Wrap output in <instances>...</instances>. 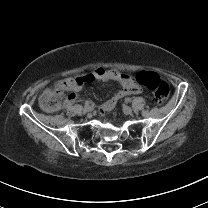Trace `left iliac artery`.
<instances>
[{
	"instance_id": "44dca946",
	"label": "left iliac artery",
	"mask_w": 208,
	"mask_h": 208,
	"mask_svg": "<svg viewBox=\"0 0 208 208\" xmlns=\"http://www.w3.org/2000/svg\"><path fill=\"white\" fill-rule=\"evenodd\" d=\"M125 101L130 103L132 101V99L131 98H126Z\"/></svg>"
}]
</instances>
